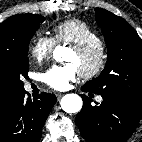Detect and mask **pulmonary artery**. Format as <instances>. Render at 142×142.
Masks as SVG:
<instances>
[{"label": "pulmonary artery", "mask_w": 142, "mask_h": 142, "mask_svg": "<svg viewBox=\"0 0 142 142\" xmlns=\"http://www.w3.org/2000/svg\"><path fill=\"white\" fill-rule=\"evenodd\" d=\"M97 100H98V101H101V100H102V98H101V97H98V98H97Z\"/></svg>", "instance_id": "e3ab8cb5"}]
</instances>
